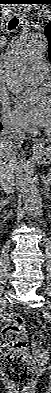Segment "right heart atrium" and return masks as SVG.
Wrapping results in <instances>:
<instances>
[{"mask_svg":"<svg viewBox=\"0 0 51 393\" xmlns=\"http://www.w3.org/2000/svg\"><path fill=\"white\" fill-rule=\"evenodd\" d=\"M2 121L5 128L14 133L22 134L28 131L27 124L6 104L2 107Z\"/></svg>","mask_w":51,"mask_h":393,"instance_id":"1","label":"right heart atrium"}]
</instances>
